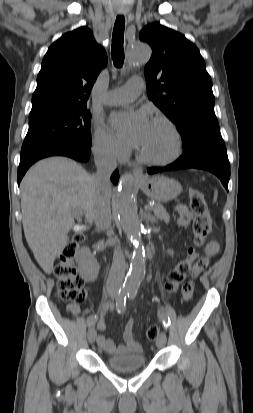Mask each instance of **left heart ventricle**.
<instances>
[{
    "label": "left heart ventricle",
    "instance_id": "left-heart-ventricle-1",
    "mask_svg": "<svg viewBox=\"0 0 253 413\" xmlns=\"http://www.w3.org/2000/svg\"><path fill=\"white\" fill-rule=\"evenodd\" d=\"M174 148V142L168 128L160 123L152 122L143 143L139 146L146 155L152 158H165Z\"/></svg>",
    "mask_w": 253,
    "mask_h": 413
}]
</instances>
